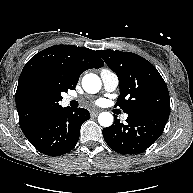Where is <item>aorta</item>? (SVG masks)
Instances as JSON below:
<instances>
[{"mask_svg":"<svg viewBox=\"0 0 193 193\" xmlns=\"http://www.w3.org/2000/svg\"><path fill=\"white\" fill-rule=\"evenodd\" d=\"M101 80L98 75L89 73L82 78V87L85 92L95 94L101 89ZM98 122L103 127H109L113 124V115L109 112H102L98 116Z\"/></svg>","mask_w":193,"mask_h":193,"instance_id":"obj_1","label":"aorta"}]
</instances>
